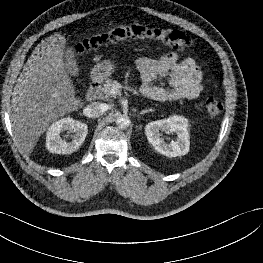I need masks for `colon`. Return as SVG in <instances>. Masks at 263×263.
Wrapping results in <instances>:
<instances>
[{
    "label": "colon",
    "instance_id": "obj_1",
    "mask_svg": "<svg viewBox=\"0 0 263 263\" xmlns=\"http://www.w3.org/2000/svg\"><path fill=\"white\" fill-rule=\"evenodd\" d=\"M151 39L162 42L174 49L183 51L190 44V39L179 30L170 28H149L140 24H118L113 27L104 28L98 32L79 41L76 50L84 53L101 45L121 41L124 39ZM222 103L215 98L205 101L204 110L208 118H216L222 111Z\"/></svg>",
    "mask_w": 263,
    "mask_h": 263
}]
</instances>
